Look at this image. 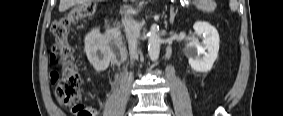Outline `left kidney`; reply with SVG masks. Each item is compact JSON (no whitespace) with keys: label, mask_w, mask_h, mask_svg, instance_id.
Here are the masks:
<instances>
[{"label":"left kidney","mask_w":283,"mask_h":116,"mask_svg":"<svg viewBox=\"0 0 283 116\" xmlns=\"http://www.w3.org/2000/svg\"><path fill=\"white\" fill-rule=\"evenodd\" d=\"M195 33L202 37V44L190 43L186 47L191 68L196 72L205 73L212 69L219 51V34L208 22L197 21L193 25ZM207 52H204V50Z\"/></svg>","instance_id":"obj_1"}]
</instances>
